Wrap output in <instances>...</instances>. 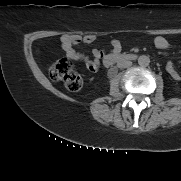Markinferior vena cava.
I'll return each instance as SVG.
<instances>
[{"mask_svg": "<svg viewBox=\"0 0 181 181\" xmlns=\"http://www.w3.org/2000/svg\"><path fill=\"white\" fill-rule=\"evenodd\" d=\"M132 65L131 61H125L124 63L120 64L118 67L119 68H127L130 67Z\"/></svg>", "mask_w": 181, "mask_h": 181, "instance_id": "obj_1", "label": "inferior vena cava"}]
</instances>
